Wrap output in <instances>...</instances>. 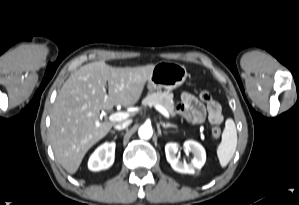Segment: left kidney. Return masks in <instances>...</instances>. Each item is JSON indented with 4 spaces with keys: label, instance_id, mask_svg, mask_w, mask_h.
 I'll use <instances>...</instances> for the list:
<instances>
[{
    "label": "left kidney",
    "instance_id": "5707ae66",
    "mask_svg": "<svg viewBox=\"0 0 299 205\" xmlns=\"http://www.w3.org/2000/svg\"><path fill=\"white\" fill-rule=\"evenodd\" d=\"M179 145L177 143H167L165 146L166 159L171 167L179 173L194 174L196 170L202 168L206 161V152L201 144L194 140H187L183 147L187 152L193 153L194 157L190 163L181 162L176 157Z\"/></svg>",
    "mask_w": 299,
    "mask_h": 205
}]
</instances>
